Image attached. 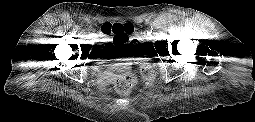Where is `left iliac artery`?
<instances>
[{"label": "left iliac artery", "mask_w": 255, "mask_h": 122, "mask_svg": "<svg viewBox=\"0 0 255 122\" xmlns=\"http://www.w3.org/2000/svg\"><path fill=\"white\" fill-rule=\"evenodd\" d=\"M152 30H153V26H150V27L148 28V30H147V33H148V34H151V33H152Z\"/></svg>", "instance_id": "44dca946"}]
</instances>
